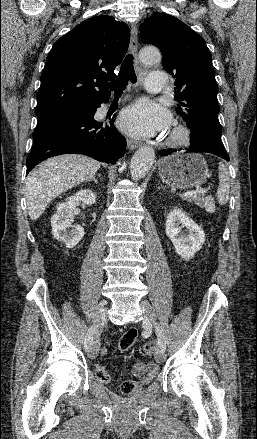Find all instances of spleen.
<instances>
[{
	"instance_id": "obj_1",
	"label": "spleen",
	"mask_w": 257,
	"mask_h": 439,
	"mask_svg": "<svg viewBox=\"0 0 257 439\" xmlns=\"http://www.w3.org/2000/svg\"><path fill=\"white\" fill-rule=\"evenodd\" d=\"M219 186L217 189L216 197L219 204L224 205L229 199L230 192V178L226 166L223 163H219Z\"/></svg>"
}]
</instances>
